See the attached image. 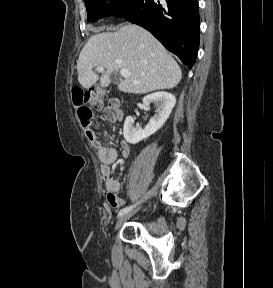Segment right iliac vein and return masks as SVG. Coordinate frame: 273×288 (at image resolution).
Returning a JSON list of instances; mask_svg holds the SVG:
<instances>
[{
  "label": "right iliac vein",
  "instance_id": "right-iliac-vein-1",
  "mask_svg": "<svg viewBox=\"0 0 273 288\" xmlns=\"http://www.w3.org/2000/svg\"><path fill=\"white\" fill-rule=\"evenodd\" d=\"M138 210L132 211V212H128L125 213L124 215H122L115 226V229L117 230L121 225H123L128 219H130Z\"/></svg>",
  "mask_w": 273,
  "mask_h": 288
}]
</instances>
